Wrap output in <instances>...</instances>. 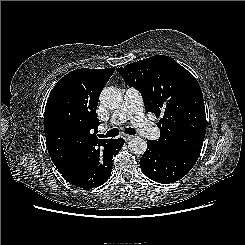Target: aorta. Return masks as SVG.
<instances>
[{
    "label": "aorta",
    "mask_w": 245,
    "mask_h": 245,
    "mask_svg": "<svg viewBox=\"0 0 245 245\" xmlns=\"http://www.w3.org/2000/svg\"><path fill=\"white\" fill-rule=\"evenodd\" d=\"M122 100L123 97L121 91L115 87H106L100 94L101 104L109 109L118 108L121 105ZM128 148L134 154H144L147 149V142L140 137H135L129 141Z\"/></svg>",
    "instance_id": "obj_1"
}]
</instances>
